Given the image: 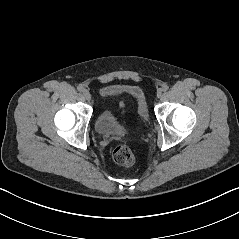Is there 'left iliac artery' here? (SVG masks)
Returning a JSON list of instances; mask_svg holds the SVG:
<instances>
[{
  "label": "left iliac artery",
  "mask_w": 239,
  "mask_h": 239,
  "mask_svg": "<svg viewBox=\"0 0 239 239\" xmlns=\"http://www.w3.org/2000/svg\"><path fill=\"white\" fill-rule=\"evenodd\" d=\"M168 89H169V86H168V85L165 84V85L162 86V91L165 92V91H167Z\"/></svg>",
  "instance_id": "left-iliac-artery-1"
}]
</instances>
